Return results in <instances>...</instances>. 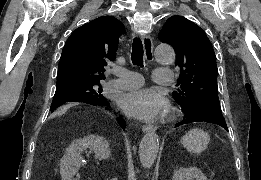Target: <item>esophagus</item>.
<instances>
[{
	"label": "esophagus",
	"mask_w": 261,
	"mask_h": 180,
	"mask_svg": "<svg viewBox=\"0 0 261 180\" xmlns=\"http://www.w3.org/2000/svg\"><path fill=\"white\" fill-rule=\"evenodd\" d=\"M143 46H144V52H145V58L148 62L154 61V54H153V41L152 38L149 35L143 36ZM157 130V127L154 125H144L142 128V131L144 133L147 132H155Z\"/></svg>",
	"instance_id": "1"
}]
</instances>
